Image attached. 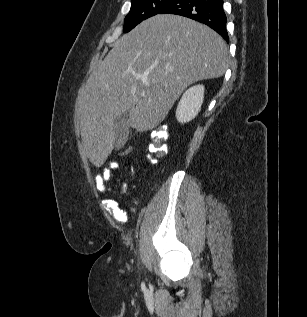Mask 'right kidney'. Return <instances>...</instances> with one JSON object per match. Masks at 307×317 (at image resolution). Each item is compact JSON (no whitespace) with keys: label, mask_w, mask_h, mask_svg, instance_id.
Wrapping results in <instances>:
<instances>
[{"label":"right kidney","mask_w":307,"mask_h":317,"mask_svg":"<svg viewBox=\"0 0 307 317\" xmlns=\"http://www.w3.org/2000/svg\"><path fill=\"white\" fill-rule=\"evenodd\" d=\"M204 91L203 85H195L185 91L176 109V118L179 123L190 122L198 115L203 103Z\"/></svg>","instance_id":"1"}]
</instances>
